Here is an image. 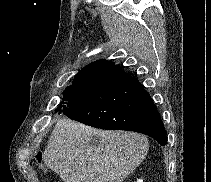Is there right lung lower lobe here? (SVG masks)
I'll return each mask as SVG.
<instances>
[{"label":"right lung lower lobe","mask_w":211,"mask_h":182,"mask_svg":"<svg viewBox=\"0 0 211 182\" xmlns=\"http://www.w3.org/2000/svg\"><path fill=\"white\" fill-rule=\"evenodd\" d=\"M59 114L106 130L146 134L166 145V131L149 93L114 63L99 60L82 69Z\"/></svg>","instance_id":"1"}]
</instances>
